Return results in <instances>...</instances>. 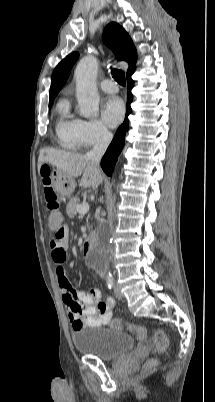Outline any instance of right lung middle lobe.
Masks as SVG:
<instances>
[{"instance_id": "dd1d6c3e", "label": "right lung middle lobe", "mask_w": 215, "mask_h": 402, "mask_svg": "<svg viewBox=\"0 0 215 402\" xmlns=\"http://www.w3.org/2000/svg\"><path fill=\"white\" fill-rule=\"evenodd\" d=\"M53 100L54 98H49V106H51Z\"/></svg>"}]
</instances>
